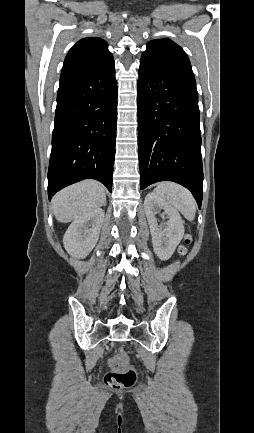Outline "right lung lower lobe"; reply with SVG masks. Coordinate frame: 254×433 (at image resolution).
Wrapping results in <instances>:
<instances>
[{"label": "right lung lower lobe", "instance_id": "obj_1", "mask_svg": "<svg viewBox=\"0 0 254 433\" xmlns=\"http://www.w3.org/2000/svg\"><path fill=\"white\" fill-rule=\"evenodd\" d=\"M117 122L114 61L61 76L48 170L49 199L83 179L112 190Z\"/></svg>", "mask_w": 254, "mask_h": 433}]
</instances>
